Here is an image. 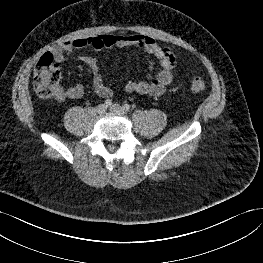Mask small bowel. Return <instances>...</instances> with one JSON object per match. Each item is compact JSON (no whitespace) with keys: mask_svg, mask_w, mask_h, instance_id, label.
<instances>
[{"mask_svg":"<svg viewBox=\"0 0 263 263\" xmlns=\"http://www.w3.org/2000/svg\"><path fill=\"white\" fill-rule=\"evenodd\" d=\"M126 48L135 47L142 49L151 55L155 60L149 63V68L153 71L156 62L159 69L155 74H149L143 81L128 80L123 85V90L128 93H139L143 95L162 96L169 84L173 80L174 71L177 67V57L167 47L161 46L157 41L142 34H122L111 35L101 34L93 37L77 38L70 41L57 44L52 47L50 54L57 62L66 61L74 50L91 48L101 50L103 48ZM81 60L89 67L92 72V84L96 94L103 98H109L113 95V89L105 84L99 70L97 59L92 55H84ZM84 94V86L76 84L69 88L58 87L54 100L63 102L66 99H78Z\"/></svg>","mask_w":263,"mask_h":263,"instance_id":"obj_1","label":"small bowel"}]
</instances>
